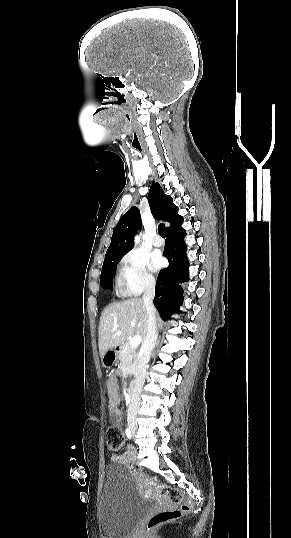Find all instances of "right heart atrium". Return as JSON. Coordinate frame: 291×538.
<instances>
[{
  "label": "right heart atrium",
  "instance_id": "obj_1",
  "mask_svg": "<svg viewBox=\"0 0 291 538\" xmlns=\"http://www.w3.org/2000/svg\"><path fill=\"white\" fill-rule=\"evenodd\" d=\"M119 271L125 290L130 295H139L155 285V278L148 270L147 258L139 251L127 252L120 261Z\"/></svg>",
  "mask_w": 291,
  "mask_h": 538
}]
</instances>
